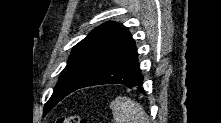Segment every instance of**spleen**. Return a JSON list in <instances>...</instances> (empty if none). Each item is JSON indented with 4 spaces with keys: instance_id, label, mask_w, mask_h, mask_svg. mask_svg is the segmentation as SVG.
Here are the masks:
<instances>
[{
    "instance_id": "3e777b00",
    "label": "spleen",
    "mask_w": 221,
    "mask_h": 123,
    "mask_svg": "<svg viewBox=\"0 0 221 123\" xmlns=\"http://www.w3.org/2000/svg\"><path fill=\"white\" fill-rule=\"evenodd\" d=\"M115 123H149L143 107L126 97H116L110 105Z\"/></svg>"
}]
</instances>
